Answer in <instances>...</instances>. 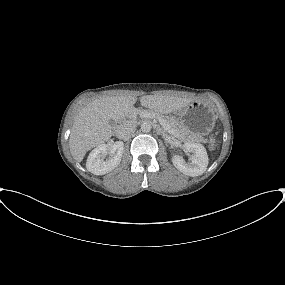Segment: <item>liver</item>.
Returning <instances> with one entry per match:
<instances>
[{
    "mask_svg": "<svg viewBox=\"0 0 285 285\" xmlns=\"http://www.w3.org/2000/svg\"><path fill=\"white\" fill-rule=\"evenodd\" d=\"M136 101L133 94L107 96L97 98L82 108L74 118L69 137L73 158L81 162L89 150L108 141L113 134L109 121H118L131 115ZM190 102V98L170 95H144L140 98L143 107L161 114L178 111Z\"/></svg>",
    "mask_w": 285,
    "mask_h": 285,
    "instance_id": "liver-1",
    "label": "liver"
}]
</instances>
